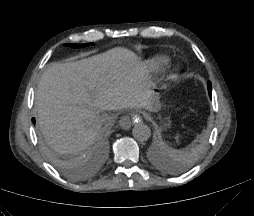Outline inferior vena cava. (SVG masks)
Here are the masks:
<instances>
[{
    "label": "inferior vena cava",
    "instance_id": "602c4592",
    "mask_svg": "<svg viewBox=\"0 0 254 216\" xmlns=\"http://www.w3.org/2000/svg\"><path fill=\"white\" fill-rule=\"evenodd\" d=\"M105 121H106L105 117L102 116L95 117L93 119L94 127L100 129L104 125Z\"/></svg>",
    "mask_w": 254,
    "mask_h": 216
}]
</instances>
